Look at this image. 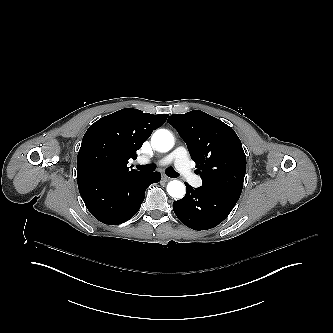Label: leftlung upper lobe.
<instances>
[{"label":"left lung upper lobe","mask_w":333,"mask_h":333,"mask_svg":"<svg viewBox=\"0 0 333 333\" xmlns=\"http://www.w3.org/2000/svg\"><path fill=\"white\" fill-rule=\"evenodd\" d=\"M167 122L187 144L203 188L241 194L246 156L230 126L199 110L171 115Z\"/></svg>","instance_id":"left-lung-upper-lobe-1"}]
</instances>
